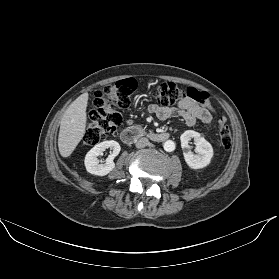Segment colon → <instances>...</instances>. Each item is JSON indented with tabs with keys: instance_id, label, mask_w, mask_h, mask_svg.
Here are the masks:
<instances>
[{
	"instance_id": "1",
	"label": "colon",
	"mask_w": 279,
	"mask_h": 279,
	"mask_svg": "<svg viewBox=\"0 0 279 279\" xmlns=\"http://www.w3.org/2000/svg\"><path fill=\"white\" fill-rule=\"evenodd\" d=\"M136 88V81L128 78L107 85L95 93V108L89 115L82 140L84 146H94L116 131L122 123L119 110L129 107ZM187 97L210 108L207 93L195 88L184 90L173 82H164L157 87L155 93L157 103L163 107L173 106ZM218 129L222 146L229 149L232 145V135L224 117L218 120Z\"/></svg>"
}]
</instances>
